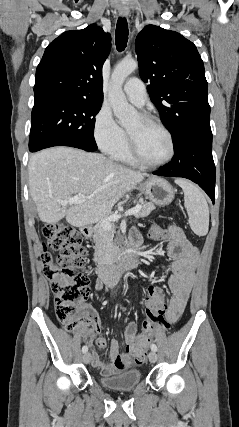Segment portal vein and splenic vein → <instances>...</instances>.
Returning <instances> with one entry per match:
<instances>
[{
	"mask_svg": "<svg viewBox=\"0 0 239 427\" xmlns=\"http://www.w3.org/2000/svg\"><path fill=\"white\" fill-rule=\"evenodd\" d=\"M86 200V197L83 195H75L71 198H69L66 201H61L62 204H78V203H82ZM141 204H137L135 207L129 209L128 211L125 212L124 216H131V215H135L136 213H138L141 210ZM123 215L121 214H113L108 216L107 218H105L104 220H102L100 222V225L103 229L105 230H110L111 229V222L114 221H118Z\"/></svg>",
	"mask_w": 239,
	"mask_h": 427,
	"instance_id": "obj_1",
	"label": "portal vein and splenic vein"
}]
</instances>
